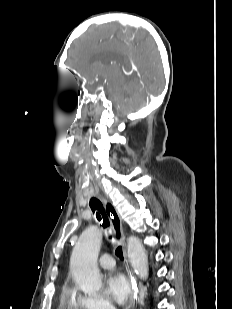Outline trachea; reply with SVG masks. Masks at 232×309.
I'll return each mask as SVG.
<instances>
[{"mask_svg": "<svg viewBox=\"0 0 232 309\" xmlns=\"http://www.w3.org/2000/svg\"><path fill=\"white\" fill-rule=\"evenodd\" d=\"M90 207L93 213H95L97 220L100 222L102 227L104 229H108L110 227V222L109 219L105 213L104 207L102 203L97 199V198H91L90 200ZM111 238V236H110ZM116 255L123 260V252H122V247H117L115 251Z\"/></svg>", "mask_w": 232, "mask_h": 309, "instance_id": "trachea-1", "label": "trachea"}]
</instances>
